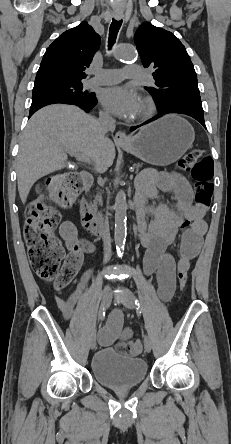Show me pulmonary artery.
<instances>
[{"instance_id": "e3ab8cb5", "label": "pulmonary artery", "mask_w": 231, "mask_h": 444, "mask_svg": "<svg viewBox=\"0 0 231 444\" xmlns=\"http://www.w3.org/2000/svg\"><path fill=\"white\" fill-rule=\"evenodd\" d=\"M143 70L136 65H126L123 69L94 70V76L87 82L88 87L115 84L127 79L139 80Z\"/></svg>"}]
</instances>
